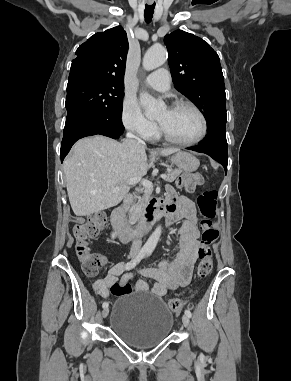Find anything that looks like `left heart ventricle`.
Here are the masks:
<instances>
[{
  "mask_svg": "<svg viewBox=\"0 0 291 381\" xmlns=\"http://www.w3.org/2000/svg\"><path fill=\"white\" fill-rule=\"evenodd\" d=\"M156 121L171 136L183 141L197 137L202 126L197 113L185 107L175 110L163 109L156 117Z\"/></svg>",
  "mask_w": 291,
  "mask_h": 381,
  "instance_id": "left-heart-ventricle-1",
  "label": "left heart ventricle"
}]
</instances>
